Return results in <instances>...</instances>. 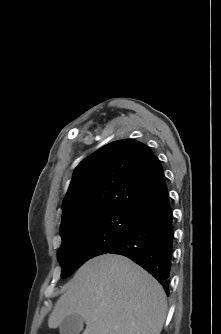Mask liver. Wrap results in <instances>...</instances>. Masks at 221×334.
<instances>
[{"instance_id": "1", "label": "liver", "mask_w": 221, "mask_h": 334, "mask_svg": "<svg viewBox=\"0 0 221 334\" xmlns=\"http://www.w3.org/2000/svg\"><path fill=\"white\" fill-rule=\"evenodd\" d=\"M48 319L55 329L80 315L83 334H160L167 314L162 286L125 256L103 254L88 260L66 284Z\"/></svg>"}]
</instances>
